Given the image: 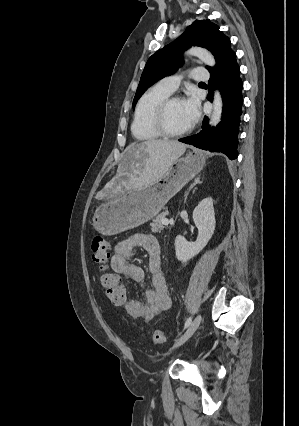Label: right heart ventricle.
<instances>
[{"mask_svg": "<svg viewBox=\"0 0 299 426\" xmlns=\"http://www.w3.org/2000/svg\"><path fill=\"white\" fill-rule=\"evenodd\" d=\"M170 95L160 84L152 86L142 95L131 126L132 134L137 140L148 142L162 137L153 125V115L160 102Z\"/></svg>", "mask_w": 299, "mask_h": 426, "instance_id": "1", "label": "right heart ventricle"}]
</instances>
